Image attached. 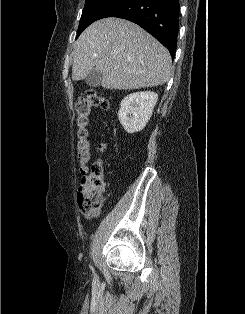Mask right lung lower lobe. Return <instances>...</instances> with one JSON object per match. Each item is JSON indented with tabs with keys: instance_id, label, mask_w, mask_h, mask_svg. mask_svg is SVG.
<instances>
[{
	"instance_id": "1",
	"label": "right lung lower lobe",
	"mask_w": 245,
	"mask_h": 314,
	"mask_svg": "<svg viewBox=\"0 0 245 314\" xmlns=\"http://www.w3.org/2000/svg\"><path fill=\"white\" fill-rule=\"evenodd\" d=\"M179 0H127L106 17L130 20L153 35L175 55L179 30Z\"/></svg>"
}]
</instances>
